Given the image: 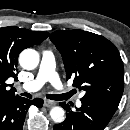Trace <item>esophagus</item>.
Returning a JSON list of instances; mask_svg holds the SVG:
<instances>
[{
	"label": "esophagus",
	"instance_id": "34e87169",
	"mask_svg": "<svg viewBox=\"0 0 130 130\" xmlns=\"http://www.w3.org/2000/svg\"><path fill=\"white\" fill-rule=\"evenodd\" d=\"M56 105V102L55 101H51V100H44V106L45 107H48V108H50V107H53V106H55Z\"/></svg>",
	"mask_w": 130,
	"mask_h": 130
}]
</instances>
